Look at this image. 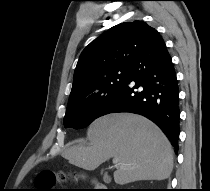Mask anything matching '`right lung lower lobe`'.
Here are the masks:
<instances>
[{
	"label": "right lung lower lobe",
	"instance_id": "98d812e1",
	"mask_svg": "<svg viewBox=\"0 0 210 191\" xmlns=\"http://www.w3.org/2000/svg\"><path fill=\"white\" fill-rule=\"evenodd\" d=\"M132 112L156 123L175 151L179 138V89L171 56L160 34L136 56L129 66V79L108 100L99 117Z\"/></svg>",
	"mask_w": 210,
	"mask_h": 191
}]
</instances>
